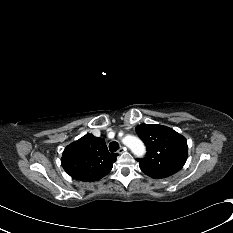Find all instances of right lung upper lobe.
Listing matches in <instances>:
<instances>
[{"label":"right lung upper lobe","mask_w":233,"mask_h":233,"mask_svg":"<svg viewBox=\"0 0 233 233\" xmlns=\"http://www.w3.org/2000/svg\"><path fill=\"white\" fill-rule=\"evenodd\" d=\"M117 155L109 153L102 138L86 134L65 148L61 164L73 179L91 182L111 171Z\"/></svg>","instance_id":"obj_1"}]
</instances>
